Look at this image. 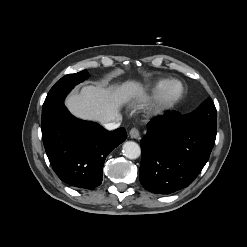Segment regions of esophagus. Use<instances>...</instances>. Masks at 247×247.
Here are the masks:
<instances>
[{
  "instance_id": "esophagus-1",
  "label": "esophagus",
  "mask_w": 247,
  "mask_h": 247,
  "mask_svg": "<svg viewBox=\"0 0 247 247\" xmlns=\"http://www.w3.org/2000/svg\"><path fill=\"white\" fill-rule=\"evenodd\" d=\"M129 136L133 139H138L140 136L138 129L132 128L129 132Z\"/></svg>"
}]
</instances>
